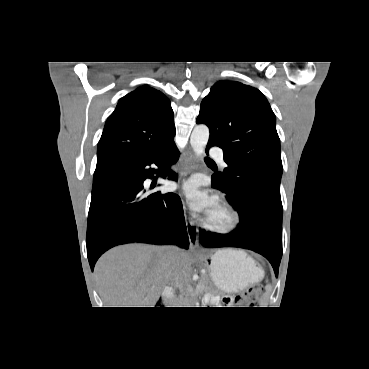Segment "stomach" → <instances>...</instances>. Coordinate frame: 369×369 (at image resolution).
<instances>
[{"instance_id":"obj_1","label":"stomach","mask_w":369,"mask_h":369,"mask_svg":"<svg viewBox=\"0 0 369 369\" xmlns=\"http://www.w3.org/2000/svg\"><path fill=\"white\" fill-rule=\"evenodd\" d=\"M216 286L226 293H236L259 282L263 271L244 252L225 249L206 260Z\"/></svg>"}]
</instances>
